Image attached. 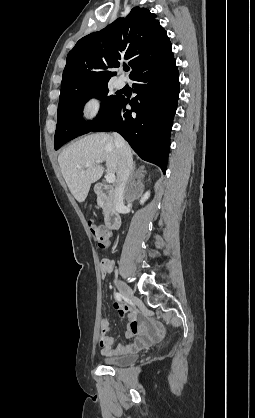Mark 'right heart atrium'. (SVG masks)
<instances>
[{
	"label": "right heart atrium",
	"instance_id": "right-heart-atrium-1",
	"mask_svg": "<svg viewBox=\"0 0 255 418\" xmlns=\"http://www.w3.org/2000/svg\"><path fill=\"white\" fill-rule=\"evenodd\" d=\"M102 102L97 96L87 98L82 105V116L87 121H92L100 114Z\"/></svg>",
	"mask_w": 255,
	"mask_h": 418
}]
</instances>
